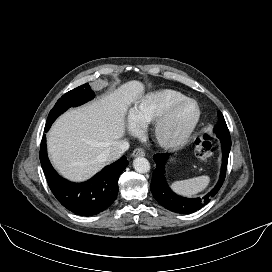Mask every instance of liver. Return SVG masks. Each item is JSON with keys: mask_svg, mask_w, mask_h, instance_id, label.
Returning <instances> with one entry per match:
<instances>
[{"mask_svg": "<svg viewBox=\"0 0 272 272\" xmlns=\"http://www.w3.org/2000/svg\"><path fill=\"white\" fill-rule=\"evenodd\" d=\"M133 80L114 92L61 115L47 136L48 151L56 170L73 181H83L103 168L101 155L125 134L129 105L143 95Z\"/></svg>", "mask_w": 272, "mask_h": 272, "instance_id": "liver-1", "label": "liver"}]
</instances>
